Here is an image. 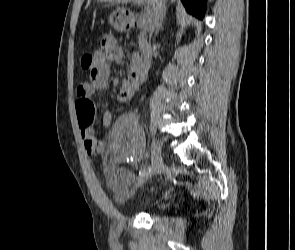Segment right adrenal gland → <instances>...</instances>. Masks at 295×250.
Listing matches in <instances>:
<instances>
[{
  "instance_id": "obj_1",
  "label": "right adrenal gland",
  "mask_w": 295,
  "mask_h": 250,
  "mask_svg": "<svg viewBox=\"0 0 295 250\" xmlns=\"http://www.w3.org/2000/svg\"><path fill=\"white\" fill-rule=\"evenodd\" d=\"M165 16H166V7L164 8V13H163V15H162V17L160 19L159 25L157 27V31H159L162 28V26H163V20H164Z\"/></svg>"
}]
</instances>
